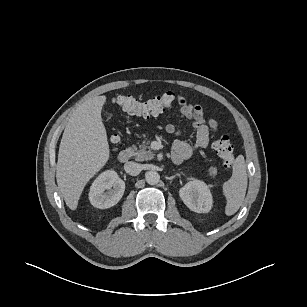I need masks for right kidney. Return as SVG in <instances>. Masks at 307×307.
I'll return each instance as SVG.
<instances>
[{"label": "right kidney", "mask_w": 307, "mask_h": 307, "mask_svg": "<svg viewBox=\"0 0 307 307\" xmlns=\"http://www.w3.org/2000/svg\"><path fill=\"white\" fill-rule=\"evenodd\" d=\"M108 190V192H105ZM125 191V182L113 170L101 173L92 183L89 192L90 203L99 209L116 205Z\"/></svg>", "instance_id": "1"}]
</instances>
